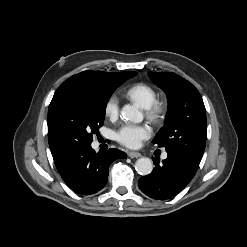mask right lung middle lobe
Here are the masks:
<instances>
[{
    "label": "right lung middle lobe",
    "instance_id": "obj_1",
    "mask_svg": "<svg viewBox=\"0 0 247 247\" xmlns=\"http://www.w3.org/2000/svg\"><path fill=\"white\" fill-rule=\"evenodd\" d=\"M136 75L130 72L116 85L96 88L88 85H60L48 110V134L60 148L91 145L102 126L105 109L114 90Z\"/></svg>",
    "mask_w": 247,
    "mask_h": 247
}]
</instances>
